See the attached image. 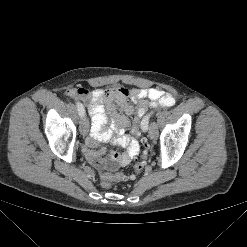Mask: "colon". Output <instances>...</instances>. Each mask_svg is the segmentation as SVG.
Here are the masks:
<instances>
[{
  "instance_id": "5ec220e1",
  "label": "colon",
  "mask_w": 247,
  "mask_h": 247,
  "mask_svg": "<svg viewBox=\"0 0 247 247\" xmlns=\"http://www.w3.org/2000/svg\"><path fill=\"white\" fill-rule=\"evenodd\" d=\"M125 89V88H123ZM121 89L122 92H125V90ZM145 117V116H144ZM139 118L135 121H133L132 124V132L133 134L139 138L140 140V145H141V155L140 158L137 159L135 165H134V174L132 175H126L123 173H107V172H101L100 177H101V184L105 188H110L112 185V182H118V181H125L128 179H133L137 174L142 172V170L145 168L149 155H150V150H149V144L147 142V139L143 136V119Z\"/></svg>"
}]
</instances>
